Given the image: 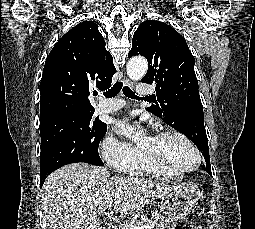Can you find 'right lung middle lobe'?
I'll list each match as a JSON object with an SVG mask.
<instances>
[{"label":"right lung middle lobe","mask_w":255,"mask_h":229,"mask_svg":"<svg viewBox=\"0 0 255 229\" xmlns=\"http://www.w3.org/2000/svg\"><path fill=\"white\" fill-rule=\"evenodd\" d=\"M93 113H59L40 119V174H50L70 163L103 165L98 147L107 125Z\"/></svg>","instance_id":"dd1d6c3e"}]
</instances>
